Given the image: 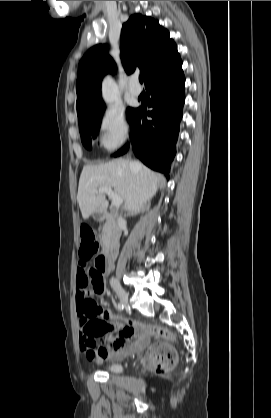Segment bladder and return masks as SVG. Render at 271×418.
<instances>
[{
	"label": "bladder",
	"mask_w": 271,
	"mask_h": 418,
	"mask_svg": "<svg viewBox=\"0 0 271 418\" xmlns=\"http://www.w3.org/2000/svg\"><path fill=\"white\" fill-rule=\"evenodd\" d=\"M106 370L112 373H119L122 370V366L118 362L110 363L106 366Z\"/></svg>",
	"instance_id": "obj_1"
}]
</instances>
